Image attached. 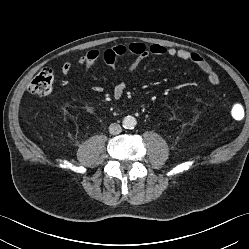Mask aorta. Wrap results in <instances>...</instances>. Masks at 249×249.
Instances as JSON below:
<instances>
[{
  "label": "aorta",
  "instance_id": "obj_1",
  "mask_svg": "<svg viewBox=\"0 0 249 249\" xmlns=\"http://www.w3.org/2000/svg\"><path fill=\"white\" fill-rule=\"evenodd\" d=\"M122 124H123V127L126 129H133L136 126L137 121H136V118L133 116H126L123 119Z\"/></svg>",
  "mask_w": 249,
  "mask_h": 249
}]
</instances>
